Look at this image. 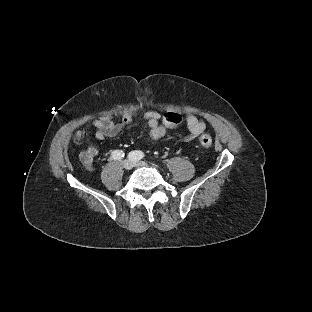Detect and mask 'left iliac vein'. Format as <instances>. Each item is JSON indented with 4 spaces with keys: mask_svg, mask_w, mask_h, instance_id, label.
Wrapping results in <instances>:
<instances>
[{
    "mask_svg": "<svg viewBox=\"0 0 312 312\" xmlns=\"http://www.w3.org/2000/svg\"><path fill=\"white\" fill-rule=\"evenodd\" d=\"M133 162V166L135 167H145L148 166V163L145 161H135V160H131Z\"/></svg>",
    "mask_w": 312,
    "mask_h": 312,
    "instance_id": "1",
    "label": "left iliac vein"
}]
</instances>
